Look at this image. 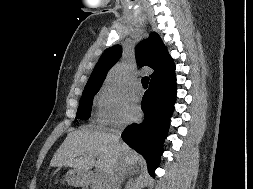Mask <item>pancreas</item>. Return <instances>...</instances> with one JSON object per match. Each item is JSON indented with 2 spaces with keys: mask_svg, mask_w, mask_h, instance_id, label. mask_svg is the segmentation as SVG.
Here are the masks:
<instances>
[{
  "mask_svg": "<svg viewBox=\"0 0 253 189\" xmlns=\"http://www.w3.org/2000/svg\"><path fill=\"white\" fill-rule=\"evenodd\" d=\"M91 189H103V177L99 174H93L90 177Z\"/></svg>",
  "mask_w": 253,
  "mask_h": 189,
  "instance_id": "obj_1",
  "label": "pancreas"
}]
</instances>
